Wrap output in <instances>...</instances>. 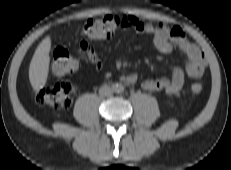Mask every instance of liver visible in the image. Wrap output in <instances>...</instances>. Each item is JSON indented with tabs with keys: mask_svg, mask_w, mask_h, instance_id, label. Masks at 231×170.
<instances>
[{
	"mask_svg": "<svg viewBox=\"0 0 231 170\" xmlns=\"http://www.w3.org/2000/svg\"><path fill=\"white\" fill-rule=\"evenodd\" d=\"M51 50V38L45 37L38 45L29 66V81L35 91H40L46 84Z\"/></svg>",
	"mask_w": 231,
	"mask_h": 170,
	"instance_id": "1",
	"label": "liver"
}]
</instances>
